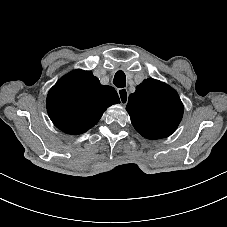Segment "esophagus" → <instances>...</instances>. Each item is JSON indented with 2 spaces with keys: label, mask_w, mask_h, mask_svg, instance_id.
<instances>
[{
  "label": "esophagus",
  "mask_w": 227,
  "mask_h": 227,
  "mask_svg": "<svg viewBox=\"0 0 227 227\" xmlns=\"http://www.w3.org/2000/svg\"><path fill=\"white\" fill-rule=\"evenodd\" d=\"M118 96L122 105H126L129 98V92L126 88L117 89Z\"/></svg>",
  "instance_id": "1"
}]
</instances>
